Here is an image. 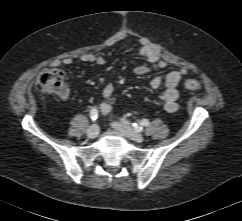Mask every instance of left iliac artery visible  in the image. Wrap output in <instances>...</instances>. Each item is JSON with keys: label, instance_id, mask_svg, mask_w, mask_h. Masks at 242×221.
<instances>
[{"label": "left iliac artery", "instance_id": "left-iliac-artery-1", "mask_svg": "<svg viewBox=\"0 0 242 221\" xmlns=\"http://www.w3.org/2000/svg\"><path fill=\"white\" fill-rule=\"evenodd\" d=\"M126 124H129V122L127 121V120H124V119H122ZM133 125V127H134V129H136L137 131H139L140 129H141V127L140 126H148L149 125V121L147 120V119H142L141 121H140V124H137V123H133L132 124Z\"/></svg>", "mask_w": 242, "mask_h": 221}]
</instances>
